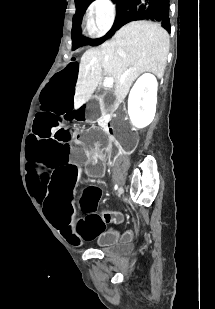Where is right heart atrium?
<instances>
[{
  "label": "right heart atrium",
  "mask_w": 215,
  "mask_h": 309,
  "mask_svg": "<svg viewBox=\"0 0 215 309\" xmlns=\"http://www.w3.org/2000/svg\"><path fill=\"white\" fill-rule=\"evenodd\" d=\"M111 3L112 0H93L95 8L87 13V21L95 35H103L112 29L114 13Z\"/></svg>",
  "instance_id": "d8ad5b80"
}]
</instances>
